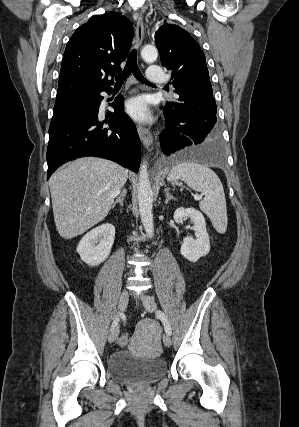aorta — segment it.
Instances as JSON below:
<instances>
[{
  "label": "aorta",
  "mask_w": 299,
  "mask_h": 427,
  "mask_svg": "<svg viewBox=\"0 0 299 427\" xmlns=\"http://www.w3.org/2000/svg\"><path fill=\"white\" fill-rule=\"evenodd\" d=\"M141 56L146 63H153L158 57L156 47L146 45L141 51ZM138 203L139 213L143 227L149 237L154 235L153 223V192L148 176L147 164L143 160L139 171V184H138Z\"/></svg>",
  "instance_id": "obj_1"
}]
</instances>
